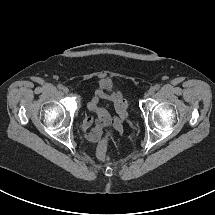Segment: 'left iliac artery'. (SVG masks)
Wrapping results in <instances>:
<instances>
[{"instance_id":"left-iliac-artery-1","label":"left iliac artery","mask_w":215,"mask_h":215,"mask_svg":"<svg viewBox=\"0 0 215 215\" xmlns=\"http://www.w3.org/2000/svg\"><path fill=\"white\" fill-rule=\"evenodd\" d=\"M159 88H160V85H158V84H156V85L154 86V89H155V90H159Z\"/></svg>"}]
</instances>
